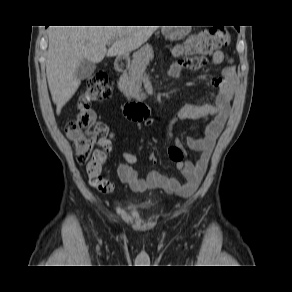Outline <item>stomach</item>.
Returning <instances> with one entry per match:
<instances>
[{
	"label": "stomach",
	"instance_id": "obj_1",
	"mask_svg": "<svg viewBox=\"0 0 292 292\" xmlns=\"http://www.w3.org/2000/svg\"><path fill=\"white\" fill-rule=\"evenodd\" d=\"M184 36H185V34L181 30L170 31L167 35V37L171 40H179V39L184 38Z\"/></svg>",
	"mask_w": 292,
	"mask_h": 292
}]
</instances>
